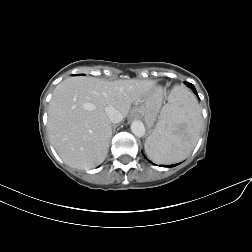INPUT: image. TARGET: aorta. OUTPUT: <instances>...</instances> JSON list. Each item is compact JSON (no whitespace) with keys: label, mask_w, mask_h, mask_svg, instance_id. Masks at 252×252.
Wrapping results in <instances>:
<instances>
[{"label":"aorta","mask_w":252,"mask_h":252,"mask_svg":"<svg viewBox=\"0 0 252 252\" xmlns=\"http://www.w3.org/2000/svg\"><path fill=\"white\" fill-rule=\"evenodd\" d=\"M130 128L132 133L137 137H142L145 134L144 124L139 120H134Z\"/></svg>","instance_id":"762f6f07"}]
</instances>
